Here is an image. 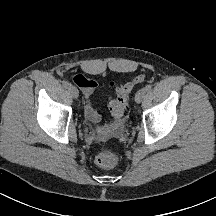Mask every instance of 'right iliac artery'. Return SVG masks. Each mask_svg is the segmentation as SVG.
Instances as JSON below:
<instances>
[{
  "mask_svg": "<svg viewBox=\"0 0 216 216\" xmlns=\"http://www.w3.org/2000/svg\"><path fill=\"white\" fill-rule=\"evenodd\" d=\"M71 86V84L67 81H63V87L64 88H69Z\"/></svg>",
  "mask_w": 216,
  "mask_h": 216,
  "instance_id": "82829eb1",
  "label": "right iliac artery"
}]
</instances>
